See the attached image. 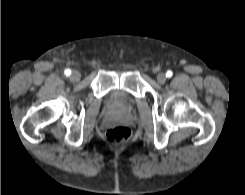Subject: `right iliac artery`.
<instances>
[{"label":"right iliac artery","instance_id":"obj_1","mask_svg":"<svg viewBox=\"0 0 245 195\" xmlns=\"http://www.w3.org/2000/svg\"><path fill=\"white\" fill-rule=\"evenodd\" d=\"M64 73H65L66 76H70L71 70H70V69H66V70L64 71Z\"/></svg>","mask_w":245,"mask_h":195}]
</instances>
